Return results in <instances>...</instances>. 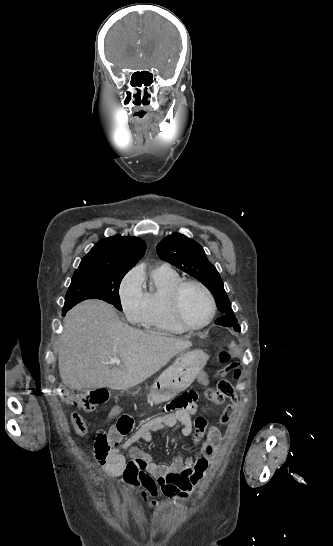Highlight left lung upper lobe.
Segmentation results:
<instances>
[{"instance_id": "1", "label": "left lung upper lobe", "mask_w": 333, "mask_h": 546, "mask_svg": "<svg viewBox=\"0 0 333 546\" xmlns=\"http://www.w3.org/2000/svg\"><path fill=\"white\" fill-rule=\"evenodd\" d=\"M158 256L204 284L213 294L217 308L224 316L235 318L223 281L196 241L174 233L157 245Z\"/></svg>"}]
</instances>
